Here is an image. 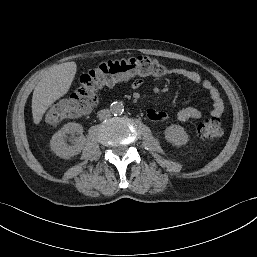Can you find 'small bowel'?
<instances>
[{"instance_id":"obj_1","label":"small bowel","mask_w":257,"mask_h":257,"mask_svg":"<svg viewBox=\"0 0 257 257\" xmlns=\"http://www.w3.org/2000/svg\"><path fill=\"white\" fill-rule=\"evenodd\" d=\"M168 75L177 76L183 78L191 83L201 85L208 93L210 100L212 102V110L211 114L215 117H220L224 112V102L218 91V89L214 86V84L207 79H203L201 75L193 70H189L186 68H171L167 70ZM133 87L138 88L141 85V81L136 80L133 82ZM146 116L151 121L155 122H163L168 119V114L164 111H158L154 109H149L146 111ZM202 113L195 107H185L182 108L177 113V119L182 122H186L189 120L199 119L201 118Z\"/></svg>"}]
</instances>
